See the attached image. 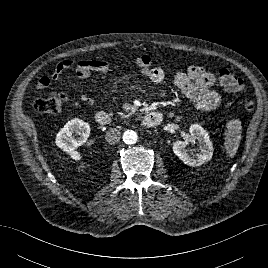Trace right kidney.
<instances>
[{
	"label": "right kidney",
	"mask_w": 268,
	"mask_h": 268,
	"mask_svg": "<svg viewBox=\"0 0 268 268\" xmlns=\"http://www.w3.org/2000/svg\"><path fill=\"white\" fill-rule=\"evenodd\" d=\"M76 133L77 138L72 135ZM90 135V126L80 119L68 121L56 136V145L66 152L72 159L78 161L82 158L76 150L78 146L84 144Z\"/></svg>",
	"instance_id": "ca27d5eb"
}]
</instances>
